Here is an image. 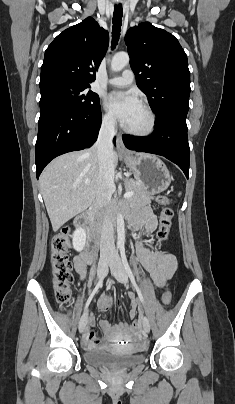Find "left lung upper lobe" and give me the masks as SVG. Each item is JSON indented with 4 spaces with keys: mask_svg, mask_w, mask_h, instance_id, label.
I'll list each match as a JSON object with an SVG mask.
<instances>
[{
    "mask_svg": "<svg viewBox=\"0 0 235 404\" xmlns=\"http://www.w3.org/2000/svg\"><path fill=\"white\" fill-rule=\"evenodd\" d=\"M125 42L137 86L147 96L156 121L172 115L186 117L190 72L177 38L144 22L128 30Z\"/></svg>",
    "mask_w": 235,
    "mask_h": 404,
    "instance_id": "1",
    "label": "left lung upper lobe"
}]
</instances>
